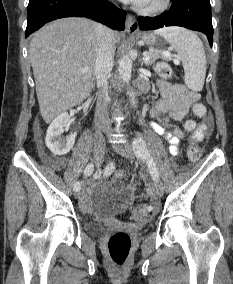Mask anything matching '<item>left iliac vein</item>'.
<instances>
[{"label": "left iliac vein", "mask_w": 233, "mask_h": 284, "mask_svg": "<svg viewBox=\"0 0 233 284\" xmlns=\"http://www.w3.org/2000/svg\"><path fill=\"white\" fill-rule=\"evenodd\" d=\"M113 149L119 153L120 155L133 159L135 157V150L130 143H117L113 145ZM153 193L158 196L162 197L163 195V187L160 183L154 182L152 186Z\"/></svg>", "instance_id": "left-iliac-vein-1"}]
</instances>
